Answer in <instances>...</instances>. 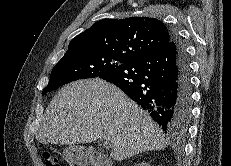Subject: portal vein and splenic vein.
<instances>
[{
    "mask_svg": "<svg viewBox=\"0 0 231 166\" xmlns=\"http://www.w3.org/2000/svg\"><path fill=\"white\" fill-rule=\"evenodd\" d=\"M101 141H103V145L106 148H109L111 146L110 140L107 138H101Z\"/></svg>",
    "mask_w": 231,
    "mask_h": 166,
    "instance_id": "1",
    "label": "portal vein and splenic vein"
}]
</instances>
